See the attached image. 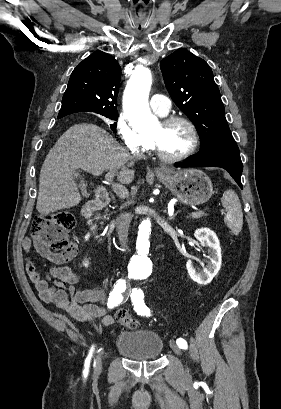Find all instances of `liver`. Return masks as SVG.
<instances>
[{
  "mask_svg": "<svg viewBox=\"0 0 281 409\" xmlns=\"http://www.w3.org/2000/svg\"><path fill=\"white\" fill-rule=\"evenodd\" d=\"M133 158L126 150H120L116 138L97 124L80 122L70 126L49 150L41 166L38 213L49 215L79 205L82 196L74 180L77 168L94 176H100L104 170L117 172L121 168L117 172L119 182L130 184L135 170L127 166H133ZM125 162H128L127 166H124Z\"/></svg>",
  "mask_w": 281,
  "mask_h": 409,
  "instance_id": "6515ba94",
  "label": "liver"
}]
</instances>
